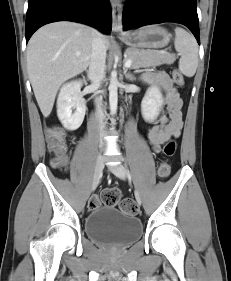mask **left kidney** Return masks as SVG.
<instances>
[{
	"instance_id": "1",
	"label": "left kidney",
	"mask_w": 231,
	"mask_h": 281,
	"mask_svg": "<svg viewBox=\"0 0 231 281\" xmlns=\"http://www.w3.org/2000/svg\"><path fill=\"white\" fill-rule=\"evenodd\" d=\"M162 103L163 99L159 89L157 87L149 88L141 102V113L146 122H152L157 118Z\"/></svg>"
}]
</instances>
